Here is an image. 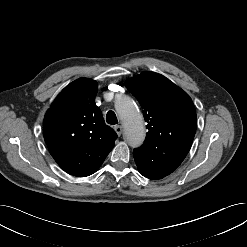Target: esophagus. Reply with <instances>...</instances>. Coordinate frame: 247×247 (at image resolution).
<instances>
[{"mask_svg":"<svg viewBox=\"0 0 247 247\" xmlns=\"http://www.w3.org/2000/svg\"><path fill=\"white\" fill-rule=\"evenodd\" d=\"M114 130L116 131L118 136H121V134H122V126L116 125V126H114Z\"/></svg>","mask_w":247,"mask_h":247,"instance_id":"obj_1","label":"esophagus"}]
</instances>
